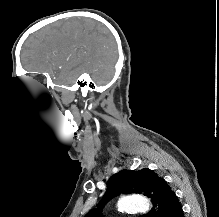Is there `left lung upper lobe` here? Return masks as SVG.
Listing matches in <instances>:
<instances>
[{"label": "left lung upper lobe", "instance_id": "obj_1", "mask_svg": "<svg viewBox=\"0 0 219 217\" xmlns=\"http://www.w3.org/2000/svg\"><path fill=\"white\" fill-rule=\"evenodd\" d=\"M121 192L143 193L151 198L154 206L144 217H171L180 204L171 187L154 171L148 168L139 171L125 169L110 178L104 198L85 217H103V206Z\"/></svg>", "mask_w": 219, "mask_h": 217}]
</instances>
